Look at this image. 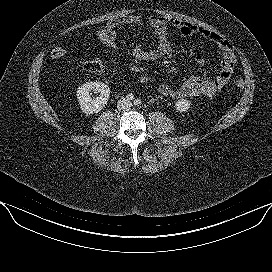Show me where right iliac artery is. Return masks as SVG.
Segmentation results:
<instances>
[{
    "label": "right iliac artery",
    "mask_w": 272,
    "mask_h": 272,
    "mask_svg": "<svg viewBox=\"0 0 272 272\" xmlns=\"http://www.w3.org/2000/svg\"><path fill=\"white\" fill-rule=\"evenodd\" d=\"M134 99V95L132 93H129L126 95V100L127 101H132Z\"/></svg>",
    "instance_id": "82829eb1"
}]
</instances>
